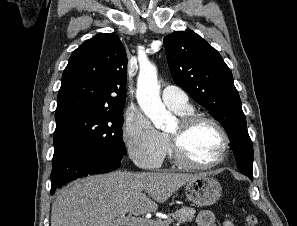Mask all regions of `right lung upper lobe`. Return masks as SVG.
Returning a JSON list of instances; mask_svg holds the SVG:
<instances>
[{"instance_id":"right-lung-upper-lobe-1","label":"right lung upper lobe","mask_w":297,"mask_h":226,"mask_svg":"<svg viewBox=\"0 0 297 226\" xmlns=\"http://www.w3.org/2000/svg\"><path fill=\"white\" fill-rule=\"evenodd\" d=\"M127 56L114 34L102 33L80 45L62 75L55 119L81 113L123 111Z\"/></svg>"}]
</instances>
